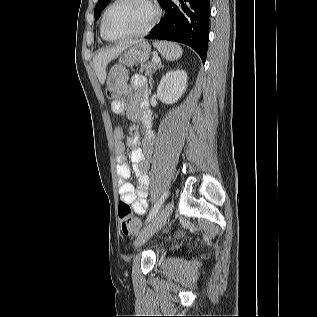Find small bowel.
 Returning <instances> with one entry per match:
<instances>
[{"label": "small bowel", "instance_id": "1", "mask_svg": "<svg viewBox=\"0 0 317 317\" xmlns=\"http://www.w3.org/2000/svg\"><path fill=\"white\" fill-rule=\"evenodd\" d=\"M131 88L133 94L127 104L120 100L111 102L112 111L117 114H126L132 121H139L145 130L142 148L136 147L139 136L131 135L124 140V130L121 127H116L113 131L114 151L116 154V170L120 178L119 195L121 201L130 204L133 211L142 215L145 213L148 205V188L149 176L148 171L150 164L145 159L149 157L153 151L154 134L151 131V119L147 112V96L148 90L146 80L141 75H134L131 79ZM132 148L130 160L132 167L126 162L125 149ZM132 171L137 176V185L127 182L132 174Z\"/></svg>", "mask_w": 317, "mask_h": 317}]
</instances>
